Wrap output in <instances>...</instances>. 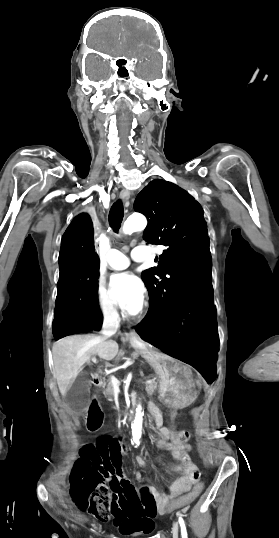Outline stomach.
<instances>
[{"instance_id": "1", "label": "stomach", "mask_w": 279, "mask_h": 538, "mask_svg": "<svg viewBox=\"0 0 279 538\" xmlns=\"http://www.w3.org/2000/svg\"><path fill=\"white\" fill-rule=\"evenodd\" d=\"M148 362L159 375L157 380L162 392L156 397L162 399V406L186 409L198 398L196 386H192V369L187 363H180L179 358H171L170 353L153 352L148 355Z\"/></svg>"}]
</instances>
